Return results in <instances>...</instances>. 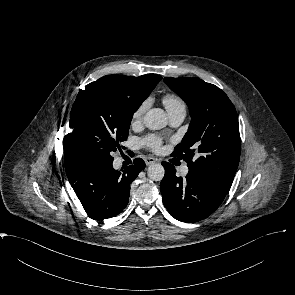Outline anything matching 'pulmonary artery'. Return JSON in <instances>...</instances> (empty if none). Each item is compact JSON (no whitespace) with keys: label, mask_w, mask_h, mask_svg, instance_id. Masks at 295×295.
<instances>
[{"label":"pulmonary artery","mask_w":295,"mask_h":295,"mask_svg":"<svg viewBox=\"0 0 295 295\" xmlns=\"http://www.w3.org/2000/svg\"><path fill=\"white\" fill-rule=\"evenodd\" d=\"M186 113H176L170 116V122L172 126H178L180 125L184 119H185ZM189 172V168L187 166H183L181 168V174L182 175H187Z\"/></svg>","instance_id":"pulmonary-artery-1"}]
</instances>
